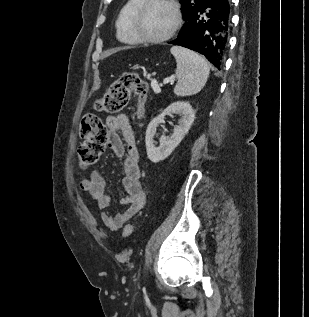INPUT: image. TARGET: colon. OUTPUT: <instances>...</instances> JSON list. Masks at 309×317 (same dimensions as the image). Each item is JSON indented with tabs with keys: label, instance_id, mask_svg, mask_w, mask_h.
<instances>
[{
	"label": "colon",
	"instance_id": "obj_1",
	"mask_svg": "<svg viewBox=\"0 0 309 317\" xmlns=\"http://www.w3.org/2000/svg\"><path fill=\"white\" fill-rule=\"evenodd\" d=\"M148 86L141 77L134 72L123 73L113 82L107 92L96 102V108L107 113L122 110L129 102L131 93L137 96V116L142 118L145 110ZM83 142L78 148V161L81 168L94 165L102 155L107 141V129L102 119L96 115L88 114L81 123ZM124 236L133 233L131 224L124 227Z\"/></svg>",
	"mask_w": 309,
	"mask_h": 317
}]
</instances>
